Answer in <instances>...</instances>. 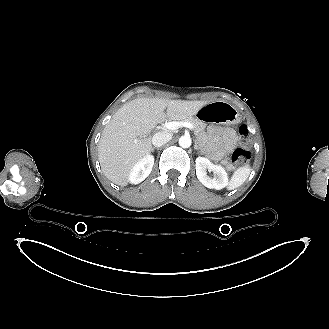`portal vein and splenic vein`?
Here are the masks:
<instances>
[{
	"mask_svg": "<svg viewBox=\"0 0 329 329\" xmlns=\"http://www.w3.org/2000/svg\"><path fill=\"white\" fill-rule=\"evenodd\" d=\"M180 127H186V128H189L190 130H194V126L190 122H176V121H173V122L166 123L164 125V128L168 129V130H176Z\"/></svg>",
	"mask_w": 329,
	"mask_h": 329,
	"instance_id": "1",
	"label": "portal vein and splenic vein"
}]
</instances>
